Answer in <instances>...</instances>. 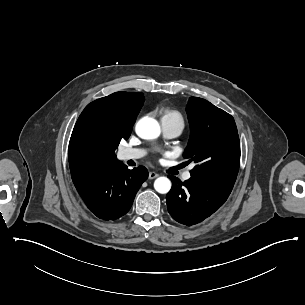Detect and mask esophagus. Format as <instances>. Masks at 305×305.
Instances as JSON below:
<instances>
[{
  "label": "esophagus",
  "instance_id": "34e87169",
  "mask_svg": "<svg viewBox=\"0 0 305 305\" xmlns=\"http://www.w3.org/2000/svg\"><path fill=\"white\" fill-rule=\"evenodd\" d=\"M159 175L157 174V173H155V172H150L149 173V179L151 180V179H154V178H156V177H158Z\"/></svg>",
  "mask_w": 305,
  "mask_h": 305
}]
</instances>
